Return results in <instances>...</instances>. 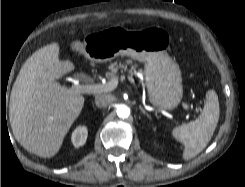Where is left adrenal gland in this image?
<instances>
[{
	"label": "left adrenal gland",
	"mask_w": 245,
	"mask_h": 187,
	"mask_svg": "<svg viewBox=\"0 0 245 187\" xmlns=\"http://www.w3.org/2000/svg\"><path fill=\"white\" fill-rule=\"evenodd\" d=\"M140 111L145 114L149 119H151L150 115L145 111V109L140 105L139 106Z\"/></svg>",
	"instance_id": "obj_1"
}]
</instances>
